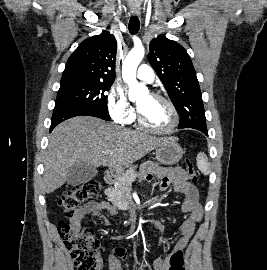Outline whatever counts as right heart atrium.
Masks as SVG:
<instances>
[{"instance_id": "d8ad5b80", "label": "right heart atrium", "mask_w": 267, "mask_h": 270, "mask_svg": "<svg viewBox=\"0 0 267 270\" xmlns=\"http://www.w3.org/2000/svg\"><path fill=\"white\" fill-rule=\"evenodd\" d=\"M108 111L112 119L120 124L131 123L135 118V112L119 86L112 87L109 92Z\"/></svg>"}]
</instances>
